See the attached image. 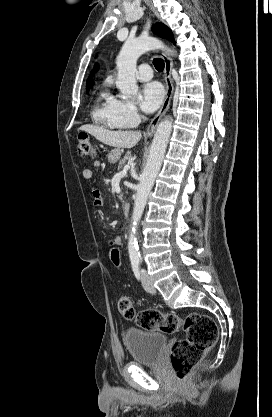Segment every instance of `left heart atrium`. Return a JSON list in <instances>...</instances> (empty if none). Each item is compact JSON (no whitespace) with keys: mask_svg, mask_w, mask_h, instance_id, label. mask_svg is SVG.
I'll return each mask as SVG.
<instances>
[{"mask_svg":"<svg viewBox=\"0 0 272 417\" xmlns=\"http://www.w3.org/2000/svg\"><path fill=\"white\" fill-rule=\"evenodd\" d=\"M164 98V89L158 82H149L141 89L140 103L143 111L154 112L159 108Z\"/></svg>","mask_w":272,"mask_h":417,"instance_id":"1","label":"left heart atrium"}]
</instances>
